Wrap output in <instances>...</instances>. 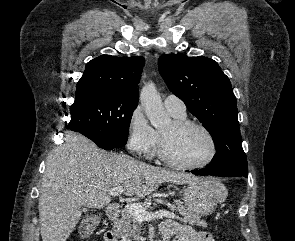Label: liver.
<instances>
[{
	"mask_svg": "<svg viewBox=\"0 0 295 241\" xmlns=\"http://www.w3.org/2000/svg\"><path fill=\"white\" fill-rule=\"evenodd\" d=\"M201 180L105 152L84 136L68 133L46 159L38 205L42 240L66 241L80 220L81 207H105L112 188L121 186L126 196L144 197L162 183Z\"/></svg>",
	"mask_w": 295,
	"mask_h": 241,
	"instance_id": "obj_1",
	"label": "liver"
}]
</instances>
